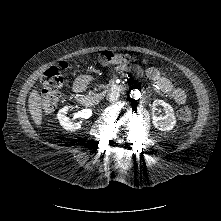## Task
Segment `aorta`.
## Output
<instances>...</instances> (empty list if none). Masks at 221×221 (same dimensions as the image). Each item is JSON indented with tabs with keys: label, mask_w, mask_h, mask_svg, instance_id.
Returning <instances> with one entry per match:
<instances>
[{
	"label": "aorta",
	"mask_w": 221,
	"mask_h": 221,
	"mask_svg": "<svg viewBox=\"0 0 221 221\" xmlns=\"http://www.w3.org/2000/svg\"><path fill=\"white\" fill-rule=\"evenodd\" d=\"M138 96H139V93H138V92L132 91V92L130 93V97H131V98H135V97H138Z\"/></svg>",
	"instance_id": "1"
}]
</instances>
